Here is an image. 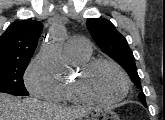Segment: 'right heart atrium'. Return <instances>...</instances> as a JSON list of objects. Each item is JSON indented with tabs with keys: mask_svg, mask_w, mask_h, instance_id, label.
I'll return each mask as SVG.
<instances>
[{
	"mask_svg": "<svg viewBox=\"0 0 165 120\" xmlns=\"http://www.w3.org/2000/svg\"><path fill=\"white\" fill-rule=\"evenodd\" d=\"M24 81L28 91L35 97L57 101L60 96L61 84L53 77L40 55L30 62Z\"/></svg>",
	"mask_w": 165,
	"mask_h": 120,
	"instance_id": "obj_1",
	"label": "right heart atrium"
}]
</instances>
